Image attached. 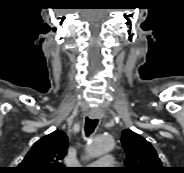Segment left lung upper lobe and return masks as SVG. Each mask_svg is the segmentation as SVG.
Listing matches in <instances>:
<instances>
[{"instance_id": "1", "label": "left lung upper lobe", "mask_w": 184, "mask_h": 173, "mask_svg": "<svg viewBox=\"0 0 184 173\" xmlns=\"http://www.w3.org/2000/svg\"><path fill=\"white\" fill-rule=\"evenodd\" d=\"M121 142L126 153L125 167L121 173H164L153 146L139 134L127 129L122 132Z\"/></svg>"}]
</instances>
